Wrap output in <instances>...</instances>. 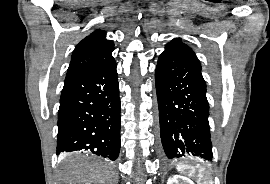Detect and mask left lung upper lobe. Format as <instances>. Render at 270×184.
<instances>
[{
    "instance_id": "1",
    "label": "left lung upper lobe",
    "mask_w": 270,
    "mask_h": 184,
    "mask_svg": "<svg viewBox=\"0 0 270 184\" xmlns=\"http://www.w3.org/2000/svg\"><path fill=\"white\" fill-rule=\"evenodd\" d=\"M182 57L187 60L194 68L201 72V65L194 51L181 38H175L165 46V51Z\"/></svg>"
}]
</instances>
